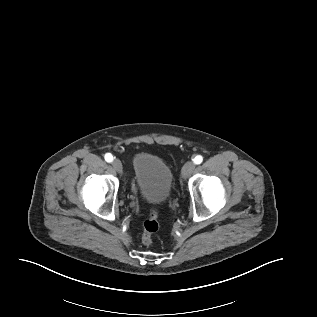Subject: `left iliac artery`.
Masks as SVG:
<instances>
[{
  "mask_svg": "<svg viewBox=\"0 0 317 317\" xmlns=\"http://www.w3.org/2000/svg\"><path fill=\"white\" fill-rule=\"evenodd\" d=\"M193 161L195 164H200L203 161V157L201 155H198L194 158Z\"/></svg>",
  "mask_w": 317,
  "mask_h": 317,
  "instance_id": "obj_1",
  "label": "left iliac artery"
}]
</instances>
